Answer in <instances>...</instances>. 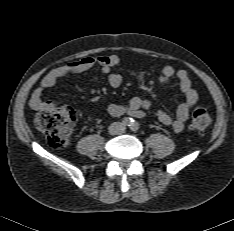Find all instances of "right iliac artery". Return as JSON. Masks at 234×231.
I'll return each mask as SVG.
<instances>
[{"label":"right iliac artery","mask_w":234,"mask_h":231,"mask_svg":"<svg viewBox=\"0 0 234 231\" xmlns=\"http://www.w3.org/2000/svg\"><path fill=\"white\" fill-rule=\"evenodd\" d=\"M133 123H134V120L132 118L126 117L122 120V124L125 126H132Z\"/></svg>","instance_id":"82829eb1"}]
</instances>
